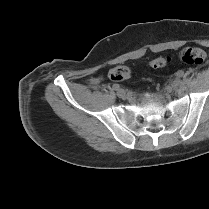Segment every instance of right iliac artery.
<instances>
[{"label": "right iliac artery", "mask_w": 209, "mask_h": 209, "mask_svg": "<svg viewBox=\"0 0 209 209\" xmlns=\"http://www.w3.org/2000/svg\"><path fill=\"white\" fill-rule=\"evenodd\" d=\"M113 89H114V90H119V89H120V86H119L118 84H114V85H113Z\"/></svg>", "instance_id": "82829eb1"}]
</instances>
